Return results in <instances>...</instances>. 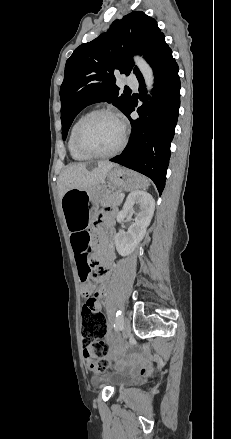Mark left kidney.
I'll list each match as a JSON object with an SVG mask.
<instances>
[{"instance_id":"left-kidney-1","label":"left kidney","mask_w":231,"mask_h":439,"mask_svg":"<svg viewBox=\"0 0 231 439\" xmlns=\"http://www.w3.org/2000/svg\"><path fill=\"white\" fill-rule=\"evenodd\" d=\"M135 205H139L135 222L128 228L127 232L120 230L115 235L116 249L121 256L131 254L138 246L145 236L146 229L154 214L155 201L153 197L145 191L138 190L127 196L122 210L117 215V221L121 223L126 217H131L135 213Z\"/></svg>"}]
</instances>
